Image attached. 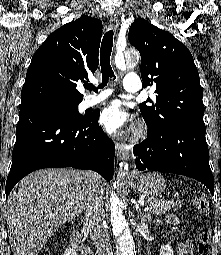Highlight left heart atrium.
Wrapping results in <instances>:
<instances>
[{"mask_svg":"<svg viewBox=\"0 0 221 255\" xmlns=\"http://www.w3.org/2000/svg\"><path fill=\"white\" fill-rule=\"evenodd\" d=\"M128 114L118 101H113L101 113L100 121L108 132H116L128 122Z\"/></svg>","mask_w":221,"mask_h":255,"instance_id":"39dd6f15","label":"left heart atrium"}]
</instances>
